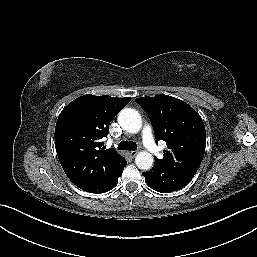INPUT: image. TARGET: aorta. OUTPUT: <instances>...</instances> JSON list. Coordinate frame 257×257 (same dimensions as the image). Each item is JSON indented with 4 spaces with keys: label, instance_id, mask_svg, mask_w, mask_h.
Segmentation results:
<instances>
[{
    "label": "aorta",
    "instance_id": "aorta-1",
    "mask_svg": "<svg viewBox=\"0 0 257 257\" xmlns=\"http://www.w3.org/2000/svg\"><path fill=\"white\" fill-rule=\"evenodd\" d=\"M120 126L129 133H137L142 127V119L138 111L125 108L118 115ZM153 156L147 151H141L135 158L136 166L141 170H149L153 166Z\"/></svg>",
    "mask_w": 257,
    "mask_h": 257
}]
</instances>
